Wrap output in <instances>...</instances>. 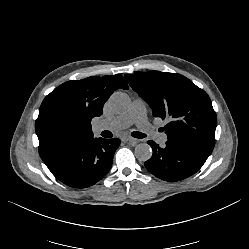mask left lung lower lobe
<instances>
[{
  "instance_id": "obj_1",
  "label": "left lung lower lobe",
  "mask_w": 249,
  "mask_h": 249,
  "mask_svg": "<svg viewBox=\"0 0 249 249\" xmlns=\"http://www.w3.org/2000/svg\"><path fill=\"white\" fill-rule=\"evenodd\" d=\"M148 144L153 149V155L145 162L146 169L169 182L180 181L196 173L213 150L180 140H167L163 147H159L152 140Z\"/></svg>"
}]
</instances>
